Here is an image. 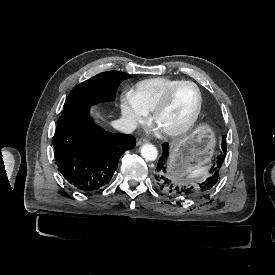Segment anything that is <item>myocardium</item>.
<instances>
[{
  "instance_id": "1",
  "label": "myocardium",
  "mask_w": 275,
  "mask_h": 275,
  "mask_svg": "<svg viewBox=\"0 0 275 275\" xmlns=\"http://www.w3.org/2000/svg\"><path fill=\"white\" fill-rule=\"evenodd\" d=\"M182 84H191L196 88L197 91V96H198V101H197V105L196 108L193 112V114L191 115V117L188 119V121L183 124L181 127L176 128V129H172V130H166V131H159L155 125L156 120L158 118V116L165 111V109L168 107L170 100L172 98V95L174 93V91L176 90V88ZM202 104H203V96H202V92L200 87L193 81L191 80H180V81H176L174 84H172L167 91L165 92L164 96L162 97L161 101L158 103V105L156 106V108L153 111V117H152V121H153V125L155 127V129L157 131H159L160 133L169 136V137H175V136H179L182 135L184 133H186L188 130L191 129V127L195 124V122L197 121L201 110H202Z\"/></svg>"
}]
</instances>
